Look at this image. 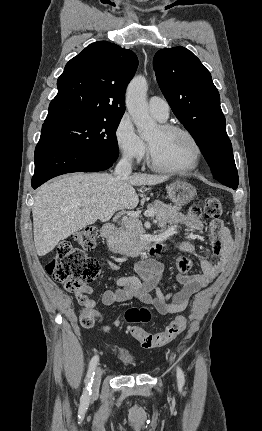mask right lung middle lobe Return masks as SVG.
Instances as JSON below:
<instances>
[{
    "instance_id": "obj_1",
    "label": "right lung middle lobe",
    "mask_w": 262,
    "mask_h": 431,
    "mask_svg": "<svg viewBox=\"0 0 262 431\" xmlns=\"http://www.w3.org/2000/svg\"><path fill=\"white\" fill-rule=\"evenodd\" d=\"M122 117H91L42 126L40 141L81 147L106 158L117 159L115 131Z\"/></svg>"
}]
</instances>
